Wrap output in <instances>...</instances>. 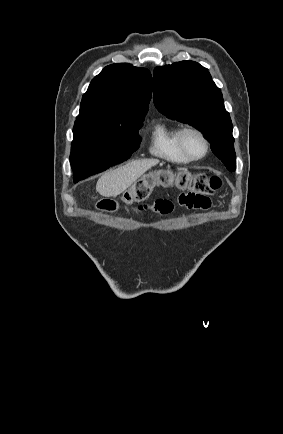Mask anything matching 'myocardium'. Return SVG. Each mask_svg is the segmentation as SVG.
Returning <instances> with one entry per match:
<instances>
[{"label": "myocardium", "mask_w": 283, "mask_h": 434, "mask_svg": "<svg viewBox=\"0 0 283 434\" xmlns=\"http://www.w3.org/2000/svg\"><path fill=\"white\" fill-rule=\"evenodd\" d=\"M189 133H195L202 140V142L204 144V151L202 152V154L195 156V155L191 154L189 152V150L187 149L186 144H185V137ZM178 145H179V148H180L181 152L183 153V155L186 158H188L190 161H197V160L203 159L208 154L209 148H210V144H209L208 138L206 137L205 133L201 129H199L198 127H195V126H186V127L180 129L179 134H178Z\"/></svg>", "instance_id": "myocardium-1"}]
</instances>
